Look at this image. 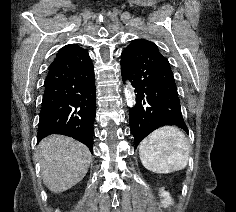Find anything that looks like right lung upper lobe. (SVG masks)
<instances>
[{"label":"right lung upper lobe","mask_w":236,"mask_h":212,"mask_svg":"<svg viewBox=\"0 0 236 212\" xmlns=\"http://www.w3.org/2000/svg\"><path fill=\"white\" fill-rule=\"evenodd\" d=\"M77 45L76 44H69V45H66L64 46L63 48H61L59 50V52L57 53L56 57H59L61 55H64L66 53H68L69 51L73 50L74 48H76Z\"/></svg>","instance_id":"cb5924a9"}]
</instances>
